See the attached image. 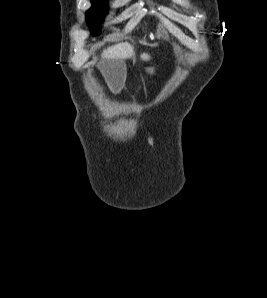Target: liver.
<instances>
[{"label": "liver", "instance_id": "1", "mask_svg": "<svg viewBox=\"0 0 267 298\" xmlns=\"http://www.w3.org/2000/svg\"><path fill=\"white\" fill-rule=\"evenodd\" d=\"M134 53V47L125 42L105 49L101 56L103 59L126 60L131 58ZM140 58L143 61H149L151 59L150 55L147 53L141 54Z\"/></svg>", "mask_w": 267, "mask_h": 298}]
</instances>
